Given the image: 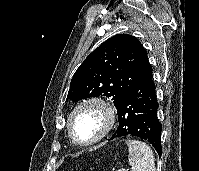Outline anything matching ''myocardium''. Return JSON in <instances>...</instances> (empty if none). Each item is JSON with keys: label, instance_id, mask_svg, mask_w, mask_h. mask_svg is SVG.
Listing matches in <instances>:
<instances>
[{"label": "myocardium", "instance_id": "1", "mask_svg": "<svg viewBox=\"0 0 199 171\" xmlns=\"http://www.w3.org/2000/svg\"><path fill=\"white\" fill-rule=\"evenodd\" d=\"M86 107H94L100 111L104 119V126L101 132L94 139L88 142H81L74 135L72 122L75 115L81 109L86 108ZM115 121H116V110L110 102L100 97H89V98L81 100L73 107V109L71 110L67 118V130H68L69 137L75 144L81 147H87V146H92L100 142L102 139H104L112 130L115 124Z\"/></svg>", "mask_w": 199, "mask_h": 171}]
</instances>
